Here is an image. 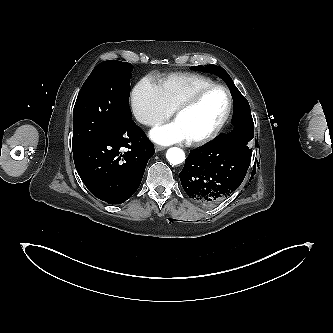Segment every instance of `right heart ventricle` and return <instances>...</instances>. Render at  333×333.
<instances>
[{"label":"right heart ventricle","mask_w":333,"mask_h":333,"mask_svg":"<svg viewBox=\"0 0 333 333\" xmlns=\"http://www.w3.org/2000/svg\"><path fill=\"white\" fill-rule=\"evenodd\" d=\"M213 83L212 79L201 74L174 73L162 79L158 86L164 100L174 111L196 91Z\"/></svg>","instance_id":"1"}]
</instances>
